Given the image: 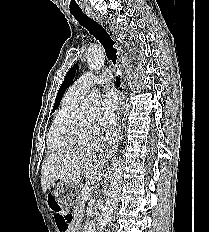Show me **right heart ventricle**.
<instances>
[{
	"label": "right heart ventricle",
	"instance_id": "e07e8e85",
	"mask_svg": "<svg viewBox=\"0 0 209 232\" xmlns=\"http://www.w3.org/2000/svg\"><path fill=\"white\" fill-rule=\"evenodd\" d=\"M82 98L83 96L73 94L70 89L67 91L48 133L47 145L50 150H60L83 140L70 137L65 132L67 121L79 109Z\"/></svg>",
	"mask_w": 209,
	"mask_h": 232
}]
</instances>
